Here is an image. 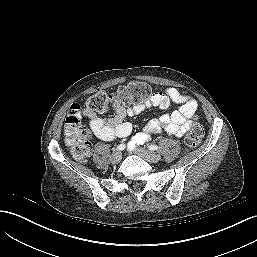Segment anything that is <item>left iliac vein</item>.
<instances>
[{"label": "left iliac vein", "mask_w": 257, "mask_h": 257, "mask_svg": "<svg viewBox=\"0 0 257 257\" xmlns=\"http://www.w3.org/2000/svg\"><path fill=\"white\" fill-rule=\"evenodd\" d=\"M136 152L138 155H140L143 159L149 161V162H158L161 160V156L159 154H156L154 152L145 150L143 148H137Z\"/></svg>", "instance_id": "obj_1"}]
</instances>
